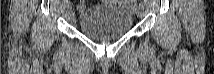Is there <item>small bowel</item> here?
Wrapping results in <instances>:
<instances>
[{"label": "small bowel", "instance_id": "small-bowel-1", "mask_svg": "<svg viewBox=\"0 0 214 74\" xmlns=\"http://www.w3.org/2000/svg\"><path fill=\"white\" fill-rule=\"evenodd\" d=\"M118 4L122 5V3H120V2ZM101 5H108V2H102ZM122 6H125V7L130 9V6H128V5H122ZM85 7L86 6H85V4L83 2L78 4L77 10H78L80 16H82V14H83V12L85 10Z\"/></svg>", "mask_w": 214, "mask_h": 74}]
</instances>
